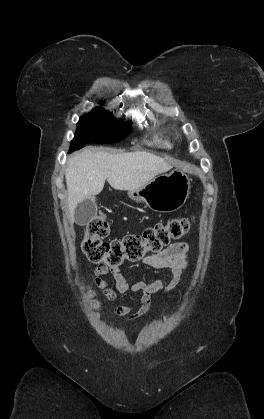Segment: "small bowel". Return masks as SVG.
I'll return each instance as SVG.
<instances>
[{
  "mask_svg": "<svg viewBox=\"0 0 264 419\" xmlns=\"http://www.w3.org/2000/svg\"><path fill=\"white\" fill-rule=\"evenodd\" d=\"M189 245L186 242H177L169 245L159 253L151 254L143 258V263L157 270H169V274L160 279L150 282L139 281L128 283L119 268H109L99 265L94 270V282L101 289L108 300H114L116 294L139 292V302L134 306L120 305L112 309L115 315L123 316L127 321L136 320L144 316L150 307V298L153 293L164 290L170 292L175 289L187 267V253ZM110 275L115 283V289L108 287L106 276Z\"/></svg>",
  "mask_w": 264,
  "mask_h": 419,
  "instance_id": "small-bowel-1",
  "label": "small bowel"
}]
</instances>
